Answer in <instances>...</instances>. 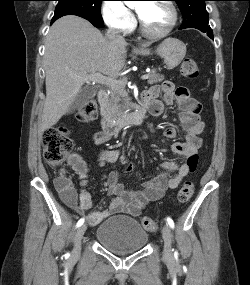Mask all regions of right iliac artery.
Returning <instances> with one entry per match:
<instances>
[{
	"instance_id": "right-iliac-artery-1",
	"label": "right iliac artery",
	"mask_w": 250,
	"mask_h": 285,
	"mask_svg": "<svg viewBox=\"0 0 250 285\" xmlns=\"http://www.w3.org/2000/svg\"><path fill=\"white\" fill-rule=\"evenodd\" d=\"M84 223V218H81L78 222H77V227H80L82 224Z\"/></svg>"
}]
</instances>
